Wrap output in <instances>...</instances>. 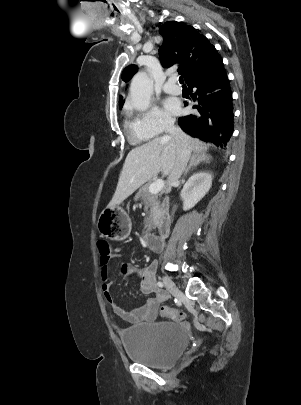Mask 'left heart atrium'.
Masks as SVG:
<instances>
[{
    "label": "left heart atrium",
    "instance_id": "obj_1",
    "mask_svg": "<svg viewBox=\"0 0 301 405\" xmlns=\"http://www.w3.org/2000/svg\"><path fill=\"white\" fill-rule=\"evenodd\" d=\"M164 106L169 112L173 114H177L180 110L178 101L173 98L166 99L164 102Z\"/></svg>",
    "mask_w": 301,
    "mask_h": 405
}]
</instances>
